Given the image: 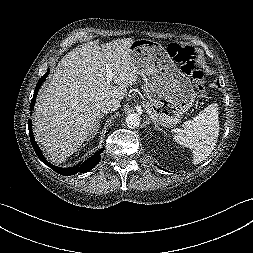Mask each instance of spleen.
<instances>
[{"label": "spleen", "mask_w": 253, "mask_h": 253, "mask_svg": "<svg viewBox=\"0 0 253 253\" xmlns=\"http://www.w3.org/2000/svg\"><path fill=\"white\" fill-rule=\"evenodd\" d=\"M218 104L213 103L193 119L185 121L174 140L193 150V163L205 160L215 148L219 136Z\"/></svg>", "instance_id": "3e777b00"}]
</instances>
